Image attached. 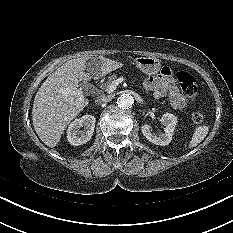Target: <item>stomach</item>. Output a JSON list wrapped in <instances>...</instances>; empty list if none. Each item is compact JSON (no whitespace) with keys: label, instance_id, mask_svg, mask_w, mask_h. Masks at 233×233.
<instances>
[{"label":"stomach","instance_id":"obj_1","mask_svg":"<svg viewBox=\"0 0 233 233\" xmlns=\"http://www.w3.org/2000/svg\"><path fill=\"white\" fill-rule=\"evenodd\" d=\"M137 67L145 74H156L160 70V61L156 57H139L136 59Z\"/></svg>","mask_w":233,"mask_h":233}]
</instances>
